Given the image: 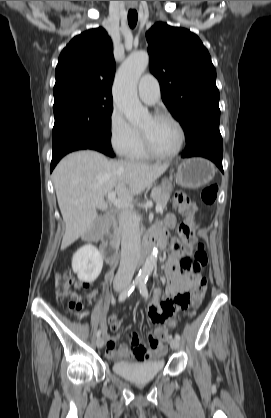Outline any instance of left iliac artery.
I'll use <instances>...</instances> for the list:
<instances>
[{
    "label": "left iliac artery",
    "mask_w": 271,
    "mask_h": 418,
    "mask_svg": "<svg viewBox=\"0 0 271 418\" xmlns=\"http://www.w3.org/2000/svg\"><path fill=\"white\" fill-rule=\"evenodd\" d=\"M139 291L144 298H148V289L146 286V280H141L138 283ZM175 338L180 341L181 337L178 333L175 334Z\"/></svg>",
    "instance_id": "44dca946"
}]
</instances>
